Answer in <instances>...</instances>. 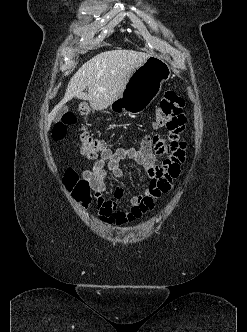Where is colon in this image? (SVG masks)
Wrapping results in <instances>:
<instances>
[{
  "label": "colon",
  "mask_w": 247,
  "mask_h": 332,
  "mask_svg": "<svg viewBox=\"0 0 247 332\" xmlns=\"http://www.w3.org/2000/svg\"><path fill=\"white\" fill-rule=\"evenodd\" d=\"M184 100L175 91H166L155 112L154 125L159 128H166L170 133H178L184 127L185 119L183 115ZM80 113L87 114L89 108L85 104L79 107ZM76 123L74 113H67L53 129V137L56 140L63 139L67 133V128ZM79 147L83 155L94 158L109 150L106 141L94 138L89 133L83 131L79 139ZM65 183L72 196L84 206L91 203L90 185L87 181L79 179L74 171L67 173Z\"/></svg>",
  "instance_id": "colon-1"
}]
</instances>
